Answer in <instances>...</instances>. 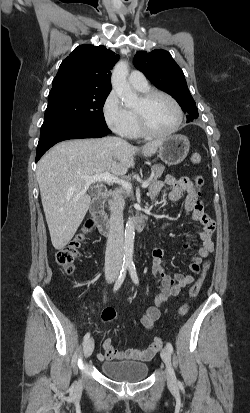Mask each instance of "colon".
Instances as JSON below:
<instances>
[{
  "label": "colon",
  "instance_id": "5ec220e1",
  "mask_svg": "<svg viewBox=\"0 0 250 413\" xmlns=\"http://www.w3.org/2000/svg\"><path fill=\"white\" fill-rule=\"evenodd\" d=\"M201 159H202L201 155L198 153H194L191 156V162L193 164H199L201 162ZM194 183H195L194 193L198 197V195L200 194L199 192L200 188L203 185V178L200 175L196 176L194 179ZM92 227H93L92 221H88L85 226L84 231L88 232L92 229ZM82 239H83V235L78 236L77 238L72 240L66 247L59 250L56 255V261L65 274H71L74 270V261L79 256ZM208 268H209V262H205L203 265L200 277L197 279V281L192 285V287L189 290L190 299H194L199 294ZM188 309H189V303H186L185 305L181 307L180 314L185 315ZM115 317H116L115 311L111 308L106 309L102 314L103 321H112L115 319ZM113 322L115 323L116 321L114 320ZM151 345L156 349H160L162 347V339L159 337H155Z\"/></svg>",
  "mask_w": 250,
  "mask_h": 413
}]
</instances>
